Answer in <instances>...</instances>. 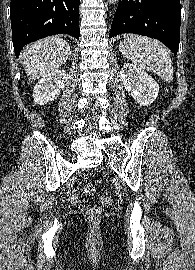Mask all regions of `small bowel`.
<instances>
[{
    "label": "small bowel",
    "instance_id": "c3829d8e",
    "mask_svg": "<svg viewBox=\"0 0 195 270\" xmlns=\"http://www.w3.org/2000/svg\"><path fill=\"white\" fill-rule=\"evenodd\" d=\"M71 197L74 199V198H75V197H74V194H72Z\"/></svg>",
    "mask_w": 195,
    "mask_h": 270
}]
</instances>
